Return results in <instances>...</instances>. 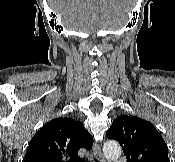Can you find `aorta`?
I'll list each match as a JSON object with an SVG mask.
<instances>
[{"label":"aorta","mask_w":175,"mask_h":162,"mask_svg":"<svg viewBox=\"0 0 175 162\" xmlns=\"http://www.w3.org/2000/svg\"><path fill=\"white\" fill-rule=\"evenodd\" d=\"M103 154L109 161L117 160L121 155V147L116 141H106L103 145Z\"/></svg>","instance_id":"1"}]
</instances>
